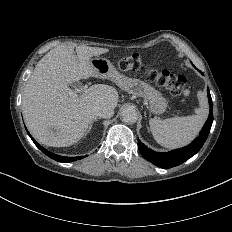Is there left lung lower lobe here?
Masks as SVG:
<instances>
[{"instance_id": "0a47b994", "label": "left lung lower lobe", "mask_w": 232, "mask_h": 232, "mask_svg": "<svg viewBox=\"0 0 232 232\" xmlns=\"http://www.w3.org/2000/svg\"><path fill=\"white\" fill-rule=\"evenodd\" d=\"M207 95H208L209 106H210L209 116L199 136L192 143L180 149L161 153L149 149L147 146H145L143 143H141L138 140V149L141 155L146 160L150 161L154 165L161 168H172L178 166L183 162L187 161L188 159H190L192 156H194L205 143L213 123V112H212L213 106H212V99L209 90H207Z\"/></svg>"}]
</instances>
